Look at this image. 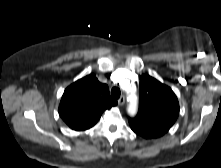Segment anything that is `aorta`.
Segmentation results:
<instances>
[{
  "instance_id": "762f6f07",
  "label": "aorta",
  "mask_w": 221,
  "mask_h": 168,
  "mask_svg": "<svg viewBox=\"0 0 221 168\" xmlns=\"http://www.w3.org/2000/svg\"><path fill=\"white\" fill-rule=\"evenodd\" d=\"M136 96H133V99L130 100L127 112L129 115L133 116L136 114L137 111V101Z\"/></svg>"
}]
</instances>
